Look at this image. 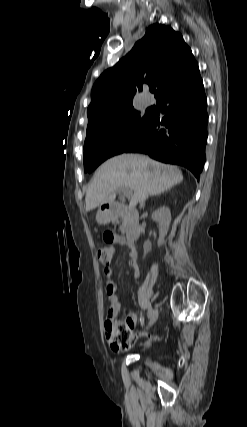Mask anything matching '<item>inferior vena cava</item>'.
I'll use <instances>...</instances> for the list:
<instances>
[{"mask_svg": "<svg viewBox=\"0 0 247 427\" xmlns=\"http://www.w3.org/2000/svg\"><path fill=\"white\" fill-rule=\"evenodd\" d=\"M144 206V200H142L141 202H140V207H143Z\"/></svg>", "mask_w": 247, "mask_h": 427, "instance_id": "inferior-vena-cava-1", "label": "inferior vena cava"}]
</instances>
